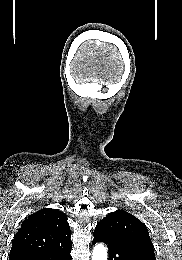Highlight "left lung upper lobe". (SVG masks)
I'll return each mask as SVG.
<instances>
[{
  "label": "left lung upper lobe",
  "instance_id": "obj_1",
  "mask_svg": "<svg viewBox=\"0 0 182 260\" xmlns=\"http://www.w3.org/2000/svg\"><path fill=\"white\" fill-rule=\"evenodd\" d=\"M103 230L153 251V245L146 226L135 216L124 210L109 213L96 226Z\"/></svg>",
  "mask_w": 182,
  "mask_h": 260
}]
</instances>
